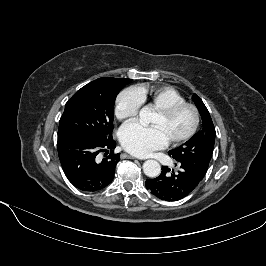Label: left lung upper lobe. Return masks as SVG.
Here are the masks:
<instances>
[{
    "mask_svg": "<svg viewBox=\"0 0 266 266\" xmlns=\"http://www.w3.org/2000/svg\"><path fill=\"white\" fill-rule=\"evenodd\" d=\"M192 99L202 117L203 128L187 142L170 150L168 153L178 163L188 166L203 178L213 154L216 132L210 114L203 101L196 94L193 95Z\"/></svg>",
    "mask_w": 266,
    "mask_h": 266,
    "instance_id": "left-lung-upper-lobe-1",
    "label": "left lung upper lobe"
}]
</instances>
